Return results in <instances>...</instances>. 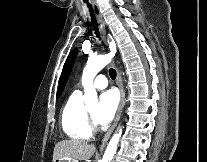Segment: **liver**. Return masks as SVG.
<instances>
[{
    "mask_svg": "<svg viewBox=\"0 0 207 162\" xmlns=\"http://www.w3.org/2000/svg\"><path fill=\"white\" fill-rule=\"evenodd\" d=\"M95 146L77 139L62 140L57 143L53 151V161L58 160H88L95 153Z\"/></svg>",
    "mask_w": 207,
    "mask_h": 162,
    "instance_id": "obj_1",
    "label": "liver"
}]
</instances>
